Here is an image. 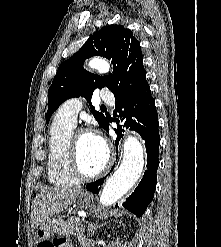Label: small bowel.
<instances>
[{
    "instance_id": "obj_1",
    "label": "small bowel",
    "mask_w": 221,
    "mask_h": 247,
    "mask_svg": "<svg viewBox=\"0 0 221 247\" xmlns=\"http://www.w3.org/2000/svg\"><path fill=\"white\" fill-rule=\"evenodd\" d=\"M56 247H72V246L67 242H60Z\"/></svg>"
}]
</instances>
